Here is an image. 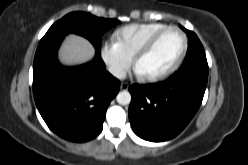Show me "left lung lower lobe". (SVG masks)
Returning a JSON list of instances; mask_svg holds the SVG:
<instances>
[{
	"label": "left lung lower lobe",
	"mask_w": 248,
	"mask_h": 165,
	"mask_svg": "<svg viewBox=\"0 0 248 165\" xmlns=\"http://www.w3.org/2000/svg\"><path fill=\"white\" fill-rule=\"evenodd\" d=\"M207 78V59L198 57L163 82L130 86L128 113L135 134L153 142L177 136L199 109Z\"/></svg>",
	"instance_id": "obj_1"
}]
</instances>
